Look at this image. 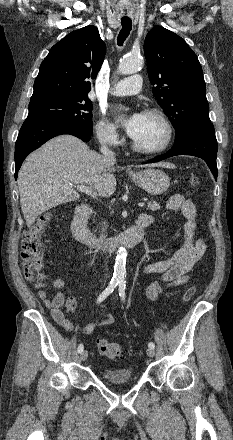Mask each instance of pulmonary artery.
Segmentation results:
<instances>
[{"label": "pulmonary artery", "mask_w": 233, "mask_h": 440, "mask_svg": "<svg viewBox=\"0 0 233 440\" xmlns=\"http://www.w3.org/2000/svg\"><path fill=\"white\" fill-rule=\"evenodd\" d=\"M141 75H132L117 82L111 89L110 93L116 96H128L137 94L141 90Z\"/></svg>", "instance_id": "pulmonary-artery-1"}]
</instances>
